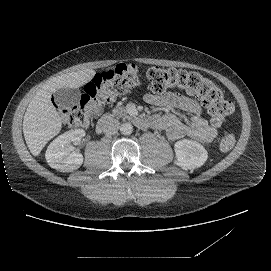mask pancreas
<instances>
[{
    "label": "pancreas",
    "instance_id": "pancreas-1",
    "mask_svg": "<svg viewBox=\"0 0 271 271\" xmlns=\"http://www.w3.org/2000/svg\"><path fill=\"white\" fill-rule=\"evenodd\" d=\"M113 115L114 116H118V117H126L127 116V112L126 110L123 108V107H116L114 110H113ZM102 121V119H101Z\"/></svg>",
    "mask_w": 271,
    "mask_h": 271
}]
</instances>
